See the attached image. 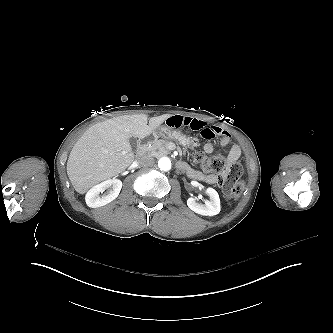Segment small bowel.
<instances>
[{"label":"small bowel","instance_id":"1","mask_svg":"<svg viewBox=\"0 0 333 333\" xmlns=\"http://www.w3.org/2000/svg\"><path fill=\"white\" fill-rule=\"evenodd\" d=\"M166 126L169 128H180L185 127L191 130L197 131L201 134L203 138H220L219 145L226 146L230 142V136L227 132L223 131L219 126L210 125L206 121L188 115H173L166 120ZM214 145L207 143L204 145L203 150L207 154L214 152ZM241 147L238 144H233L229 150L227 159L230 164L235 163L241 156ZM193 175V179L203 180L208 184H215L217 177L213 174H203L202 172L187 168Z\"/></svg>","mask_w":333,"mask_h":333}]
</instances>
